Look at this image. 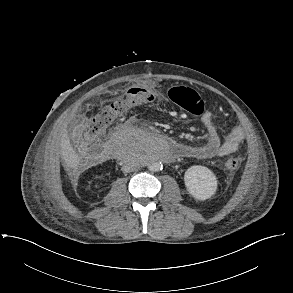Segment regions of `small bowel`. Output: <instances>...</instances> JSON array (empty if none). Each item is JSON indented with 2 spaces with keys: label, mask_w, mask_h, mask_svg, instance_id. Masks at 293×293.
Here are the masks:
<instances>
[{
  "label": "small bowel",
  "mask_w": 293,
  "mask_h": 293,
  "mask_svg": "<svg viewBox=\"0 0 293 293\" xmlns=\"http://www.w3.org/2000/svg\"><path fill=\"white\" fill-rule=\"evenodd\" d=\"M153 101H156L155 95ZM204 104L201 102L200 106L194 113L201 114V120L207 129V139L201 145H186L181 151V157L192 159H211L214 157H221L228 152L236 151L244 139L242 129L235 127L225 133L224 140H221L217 129L210 121L209 114L204 112Z\"/></svg>",
  "instance_id": "c3829d8e"
}]
</instances>
